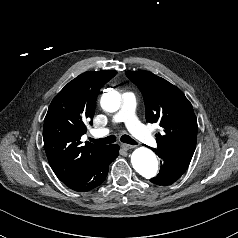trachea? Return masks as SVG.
Wrapping results in <instances>:
<instances>
[{"label": "trachea", "mask_w": 238, "mask_h": 238, "mask_svg": "<svg viewBox=\"0 0 238 238\" xmlns=\"http://www.w3.org/2000/svg\"><path fill=\"white\" fill-rule=\"evenodd\" d=\"M89 140L98 145H106V144L114 143L116 141V138L114 136H108L106 138H101V139L89 138ZM120 140L124 143L131 144V145L137 144V142L128 135H122Z\"/></svg>", "instance_id": "1"}]
</instances>
